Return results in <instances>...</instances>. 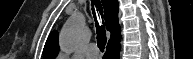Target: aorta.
Masks as SVG:
<instances>
[{
	"label": "aorta",
	"instance_id": "aorta-1",
	"mask_svg": "<svg viewBox=\"0 0 193 59\" xmlns=\"http://www.w3.org/2000/svg\"><path fill=\"white\" fill-rule=\"evenodd\" d=\"M84 18L81 14L70 17L60 34V47L66 52L70 53L74 50L78 36L82 30Z\"/></svg>",
	"mask_w": 193,
	"mask_h": 59
}]
</instances>
